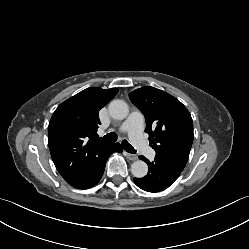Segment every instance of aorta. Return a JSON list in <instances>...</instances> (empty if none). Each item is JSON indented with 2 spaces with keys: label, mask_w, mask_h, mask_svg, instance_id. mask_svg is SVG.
<instances>
[{
  "label": "aorta",
  "mask_w": 249,
  "mask_h": 249,
  "mask_svg": "<svg viewBox=\"0 0 249 249\" xmlns=\"http://www.w3.org/2000/svg\"><path fill=\"white\" fill-rule=\"evenodd\" d=\"M109 114L113 119L123 120L128 116V105L123 100H113L108 107ZM131 172L136 178H143L148 173V165L141 160H137L131 165Z\"/></svg>",
  "instance_id": "1"
}]
</instances>
